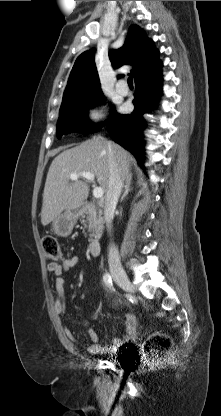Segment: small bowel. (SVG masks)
Instances as JSON below:
<instances>
[{"label": "small bowel", "mask_w": 221, "mask_h": 416, "mask_svg": "<svg viewBox=\"0 0 221 416\" xmlns=\"http://www.w3.org/2000/svg\"><path fill=\"white\" fill-rule=\"evenodd\" d=\"M79 264V257L78 256H70L65 258L62 263H48L47 264V271L52 273L55 277V290H56V301H55V311L59 314H63L66 310V299H65V288H64V279L62 275L74 268H76ZM126 329L125 332L113 339L112 345L105 347L100 343L99 334L93 330L89 329L88 335L91 340V344L88 347V351L91 354H104V353H114L118 349L122 348L126 344L130 343L135 334V327H136V320L133 315L127 314L126 317ZM67 337L75 341L77 340V336L75 332L71 329L67 328L65 331Z\"/></svg>", "instance_id": "small-bowel-1"}]
</instances>
